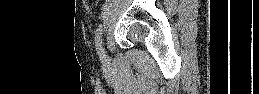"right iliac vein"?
<instances>
[{
  "label": "right iliac vein",
  "mask_w": 259,
  "mask_h": 94,
  "mask_svg": "<svg viewBox=\"0 0 259 94\" xmlns=\"http://www.w3.org/2000/svg\"><path fill=\"white\" fill-rule=\"evenodd\" d=\"M102 57H103V60L105 61L106 60V54H105L104 49H102Z\"/></svg>",
  "instance_id": "right-iliac-vein-1"
}]
</instances>
